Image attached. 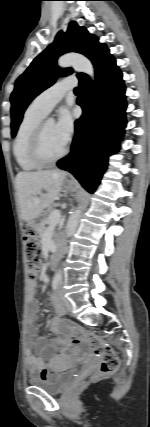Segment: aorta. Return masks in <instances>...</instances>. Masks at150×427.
<instances>
[{"label":"aorta","instance_id":"762f6f07","mask_svg":"<svg viewBox=\"0 0 150 427\" xmlns=\"http://www.w3.org/2000/svg\"><path fill=\"white\" fill-rule=\"evenodd\" d=\"M57 63H58V66L61 68L73 67L74 70L89 75L92 80L95 79L94 67L91 61L81 54L70 53V54L63 55L59 57ZM54 122H55L54 118H49L46 121L48 125H53ZM80 216H81V206L79 205L73 211V213L71 214L67 222V226H66L67 237L72 236L76 231V228L80 220ZM55 279L57 281L62 280V272L60 270L56 272Z\"/></svg>","mask_w":150,"mask_h":427}]
</instances>
